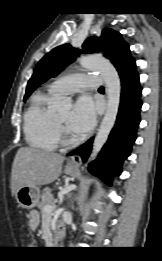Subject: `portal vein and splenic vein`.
I'll return each instance as SVG.
<instances>
[{"label":"portal vein and splenic vein","instance_id":"portal-vein-and-splenic-vein-1","mask_svg":"<svg viewBox=\"0 0 162 261\" xmlns=\"http://www.w3.org/2000/svg\"><path fill=\"white\" fill-rule=\"evenodd\" d=\"M76 188L75 185H70V186H67L65 187L64 189H61L60 192H59V199H60V203H62L63 201V195L70 192L71 190H74ZM56 209V206H53V205H46L44 207V212L45 213H52L54 210Z\"/></svg>","mask_w":162,"mask_h":261}]
</instances>
